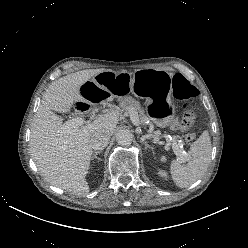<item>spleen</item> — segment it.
Segmentation results:
<instances>
[{
    "label": "spleen",
    "mask_w": 248,
    "mask_h": 248,
    "mask_svg": "<svg viewBox=\"0 0 248 248\" xmlns=\"http://www.w3.org/2000/svg\"><path fill=\"white\" fill-rule=\"evenodd\" d=\"M212 145L208 131L193 142L190 152L182 159L171 162L170 172L176 186L186 188L195 183L206 172L211 160ZM161 162H166V157L161 156ZM187 162V164H184Z\"/></svg>",
    "instance_id": "obj_1"
}]
</instances>
